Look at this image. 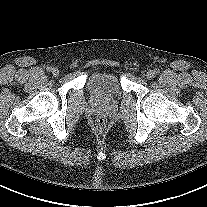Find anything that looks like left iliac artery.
<instances>
[{
    "mask_svg": "<svg viewBox=\"0 0 207 207\" xmlns=\"http://www.w3.org/2000/svg\"><path fill=\"white\" fill-rule=\"evenodd\" d=\"M160 73V70L159 69H155L154 70V74L158 75Z\"/></svg>",
    "mask_w": 207,
    "mask_h": 207,
    "instance_id": "obj_1",
    "label": "left iliac artery"
}]
</instances>
